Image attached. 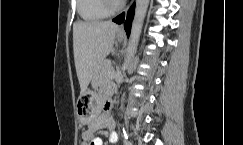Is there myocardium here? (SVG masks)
<instances>
[{
  "instance_id": "myocardium-1",
  "label": "myocardium",
  "mask_w": 243,
  "mask_h": 145,
  "mask_svg": "<svg viewBox=\"0 0 243 145\" xmlns=\"http://www.w3.org/2000/svg\"><path fill=\"white\" fill-rule=\"evenodd\" d=\"M103 6L109 13L119 11L123 7V1L102 0Z\"/></svg>"
}]
</instances>
